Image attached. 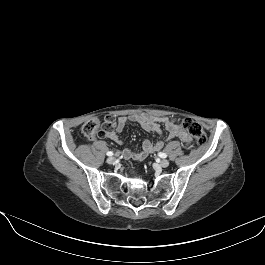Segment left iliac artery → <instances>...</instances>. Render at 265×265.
<instances>
[{
  "mask_svg": "<svg viewBox=\"0 0 265 265\" xmlns=\"http://www.w3.org/2000/svg\"><path fill=\"white\" fill-rule=\"evenodd\" d=\"M159 156H160L161 158H166V157H167V154H166V153H163V152H160V153H159Z\"/></svg>",
  "mask_w": 265,
  "mask_h": 265,
  "instance_id": "obj_1",
  "label": "left iliac artery"
}]
</instances>
